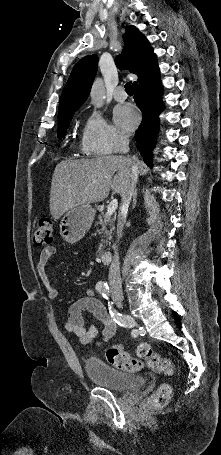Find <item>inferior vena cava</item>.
<instances>
[{
  "mask_svg": "<svg viewBox=\"0 0 221 455\" xmlns=\"http://www.w3.org/2000/svg\"><path fill=\"white\" fill-rule=\"evenodd\" d=\"M118 145H119L120 153L126 154L129 152V139L127 136H119ZM138 174H139L138 167L135 164L131 165V168L128 172L127 183H126L124 192L121 195L122 201H121V206H120L118 220H117V239H118V241L122 237V231H123L125 219L127 216L129 204H130L131 198L134 194V189H135L137 181H138ZM113 248H114V256H113V260H112V263L109 268L108 280H109V285L111 287L121 288L118 246L116 244H114Z\"/></svg>",
  "mask_w": 221,
  "mask_h": 455,
  "instance_id": "inferior-vena-cava-1",
  "label": "inferior vena cava"
}]
</instances>
